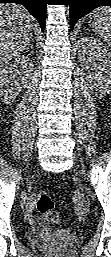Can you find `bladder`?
<instances>
[{
	"label": "bladder",
	"instance_id": "31cf9c89",
	"mask_svg": "<svg viewBox=\"0 0 111 257\" xmlns=\"http://www.w3.org/2000/svg\"><path fill=\"white\" fill-rule=\"evenodd\" d=\"M49 239L55 241L60 248H67L79 241V236L69 231L58 230L50 234Z\"/></svg>",
	"mask_w": 111,
	"mask_h": 257
}]
</instances>
